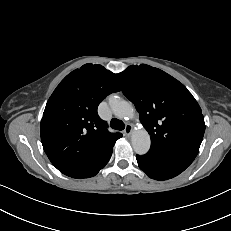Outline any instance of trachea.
Here are the masks:
<instances>
[{
	"label": "trachea",
	"instance_id": "trachea-1",
	"mask_svg": "<svg viewBox=\"0 0 231 231\" xmlns=\"http://www.w3.org/2000/svg\"><path fill=\"white\" fill-rule=\"evenodd\" d=\"M110 126L113 128V129H116V130H123L125 128V124L123 123V121L121 120H118L116 118H113L110 122Z\"/></svg>",
	"mask_w": 231,
	"mask_h": 231
}]
</instances>
